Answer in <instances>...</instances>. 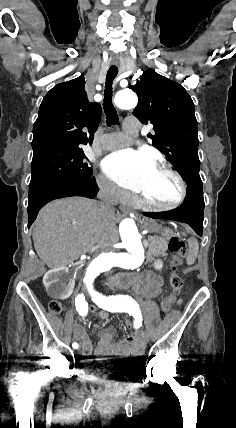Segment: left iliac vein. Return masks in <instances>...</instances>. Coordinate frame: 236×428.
Instances as JSON below:
<instances>
[{
  "label": "left iliac vein",
  "mask_w": 236,
  "mask_h": 428,
  "mask_svg": "<svg viewBox=\"0 0 236 428\" xmlns=\"http://www.w3.org/2000/svg\"><path fill=\"white\" fill-rule=\"evenodd\" d=\"M144 336H145V340H150V335L148 332H145Z\"/></svg>",
  "instance_id": "left-iliac-vein-1"
}]
</instances>
